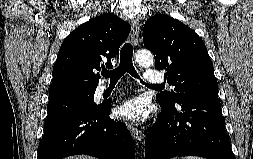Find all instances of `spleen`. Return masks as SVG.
I'll use <instances>...</instances> for the list:
<instances>
[{
    "label": "spleen",
    "instance_id": "3e777b00",
    "mask_svg": "<svg viewBox=\"0 0 253 159\" xmlns=\"http://www.w3.org/2000/svg\"><path fill=\"white\" fill-rule=\"evenodd\" d=\"M183 159H203V158L197 157V156H187V157H184Z\"/></svg>",
    "mask_w": 253,
    "mask_h": 159
}]
</instances>
